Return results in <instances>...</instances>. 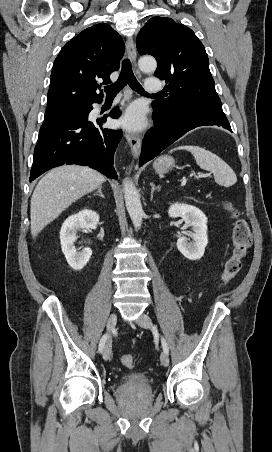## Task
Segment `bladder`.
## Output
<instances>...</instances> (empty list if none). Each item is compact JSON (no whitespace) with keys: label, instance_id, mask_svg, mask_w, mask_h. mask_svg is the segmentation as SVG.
<instances>
[{"label":"bladder","instance_id":"31cf9c89","mask_svg":"<svg viewBox=\"0 0 272 452\" xmlns=\"http://www.w3.org/2000/svg\"><path fill=\"white\" fill-rule=\"evenodd\" d=\"M122 386H135L149 388L151 386V378L141 372H132L121 379Z\"/></svg>","mask_w":272,"mask_h":452}]
</instances>
